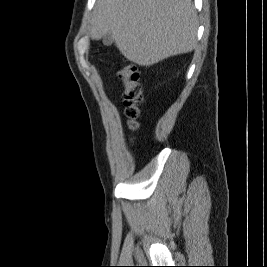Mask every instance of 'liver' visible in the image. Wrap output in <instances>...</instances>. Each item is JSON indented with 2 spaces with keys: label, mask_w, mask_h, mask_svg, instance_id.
<instances>
[{
  "label": "liver",
  "mask_w": 267,
  "mask_h": 267,
  "mask_svg": "<svg viewBox=\"0 0 267 267\" xmlns=\"http://www.w3.org/2000/svg\"><path fill=\"white\" fill-rule=\"evenodd\" d=\"M197 27L191 0H97L90 36L111 34L124 57L151 66L192 51Z\"/></svg>",
  "instance_id": "liver-1"
}]
</instances>
